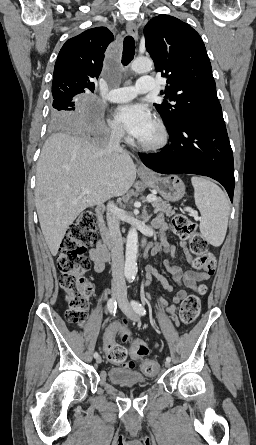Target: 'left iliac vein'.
Segmentation results:
<instances>
[{
  "label": "left iliac vein",
  "mask_w": 256,
  "mask_h": 445,
  "mask_svg": "<svg viewBox=\"0 0 256 445\" xmlns=\"http://www.w3.org/2000/svg\"><path fill=\"white\" fill-rule=\"evenodd\" d=\"M119 308L122 310V312L132 321L137 322L139 320L138 315L134 312L132 306L128 302L127 295L125 292L121 294V297L118 301ZM164 365L166 368L170 367V362L165 361Z\"/></svg>",
  "instance_id": "obj_1"
}]
</instances>
